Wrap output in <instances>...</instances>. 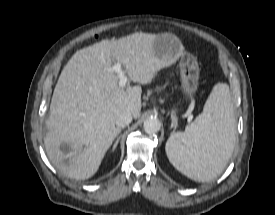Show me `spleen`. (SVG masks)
Masks as SVG:
<instances>
[{"label":"spleen","mask_w":275,"mask_h":215,"mask_svg":"<svg viewBox=\"0 0 275 215\" xmlns=\"http://www.w3.org/2000/svg\"><path fill=\"white\" fill-rule=\"evenodd\" d=\"M236 120L229 86L213 87L203 112L186 127L173 133L166 154L173 166L188 178L207 182L227 165L235 145Z\"/></svg>","instance_id":"spleen-1"}]
</instances>
